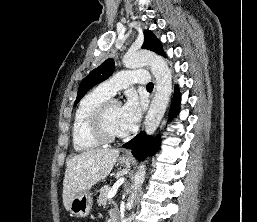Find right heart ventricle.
Returning <instances> with one entry per match:
<instances>
[{"mask_svg": "<svg viewBox=\"0 0 257 222\" xmlns=\"http://www.w3.org/2000/svg\"><path fill=\"white\" fill-rule=\"evenodd\" d=\"M109 98V95L96 88L81 99L72 122V142L75 150L88 151L101 145L91 132L90 118L94 110Z\"/></svg>", "mask_w": 257, "mask_h": 222, "instance_id": "e07e8e85", "label": "right heart ventricle"}]
</instances>
